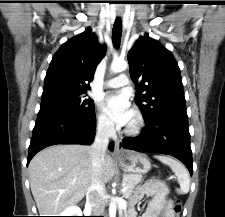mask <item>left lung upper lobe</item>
Wrapping results in <instances>:
<instances>
[{
  "label": "left lung upper lobe",
  "instance_id": "1",
  "mask_svg": "<svg viewBox=\"0 0 225 217\" xmlns=\"http://www.w3.org/2000/svg\"><path fill=\"white\" fill-rule=\"evenodd\" d=\"M128 62L144 118L186 112L180 69L169 50L146 34L128 52Z\"/></svg>",
  "mask_w": 225,
  "mask_h": 217
}]
</instances>
